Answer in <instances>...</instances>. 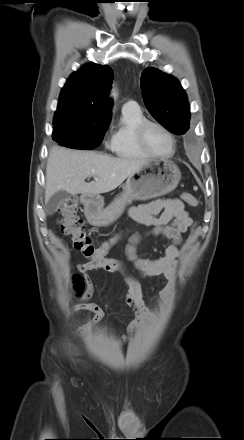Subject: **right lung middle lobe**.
Masks as SVG:
<instances>
[{
	"label": "right lung middle lobe",
	"instance_id": "right-lung-middle-lobe-1",
	"mask_svg": "<svg viewBox=\"0 0 244 440\" xmlns=\"http://www.w3.org/2000/svg\"><path fill=\"white\" fill-rule=\"evenodd\" d=\"M54 123L52 138L62 146L74 149H93L103 140L108 122L94 123L63 120Z\"/></svg>",
	"mask_w": 244,
	"mask_h": 440
}]
</instances>
